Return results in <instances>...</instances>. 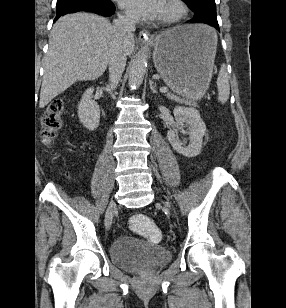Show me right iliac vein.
Returning a JSON list of instances; mask_svg holds the SVG:
<instances>
[{"mask_svg": "<svg viewBox=\"0 0 286 308\" xmlns=\"http://www.w3.org/2000/svg\"><path fill=\"white\" fill-rule=\"evenodd\" d=\"M115 210H116V204L114 202H111L108 209H107L106 215H105L106 229H110V227H111Z\"/></svg>", "mask_w": 286, "mask_h": 308, "instance_id": "obj_1", "label": "right iliac vein"}]
</instances>
